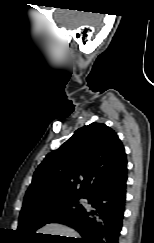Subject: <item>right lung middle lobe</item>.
<instances>
[{"mask_svg":"<svg viewBox=\"0 0 154 243\" xmlns=\"http://www.w3.org/2000/svg\"><path fill=\"white\" fill-rule=\"evenodd\" d=\"M81 198L85 196L64 195L23 206L17 231L25 238L33 236L45 224L54 223L58 218L81 209Z\"/></svg>","mask_w":154,"mask_h":243,"instance_id":"right-lung-middle-lobe-1","label":"right lung middle lobe"}]
</instances>
